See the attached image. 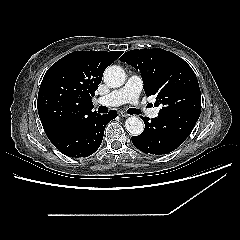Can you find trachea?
Wrapping results in <instances>:
<instances>
[{"label": "trachea", "mask_w": 240, "mask_h": 240, "mask_svg": "<svg viewBox=\"0 0 240 240\" xmlns=\"http://www.w3.org/2000/svg\"><path fill=\"white\" fill-rule=\"evenodd\" d=\"M108 109L105 106H99L98 112L99 113H107ZM128 114H140L141 112L135 108L128 109Z\"/></svg>", "instance_id": "trachea-1"}]
</instances>
